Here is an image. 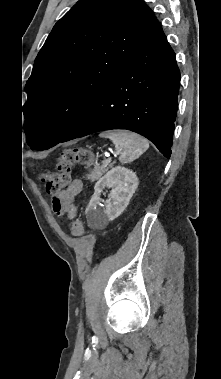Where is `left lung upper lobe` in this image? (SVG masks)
<instances>
[{
  "mask_svg": "<svg viewBox=\"0 0 221 379\" xmlns=\"http://www.w3.org/2000/svg\"><path fill=\"white\" fill-rule=\"evenodd\" d=\"M157 25L142 0H79L53 27L26 83L28 145L58 144Z\"/></svg>",
  "mask_w": 221,
  "mask_h": 379,
  "instance_id": "left-lung-upper-lobe-1",
  "label": "left lung upper lobe"
}]
</instances>
